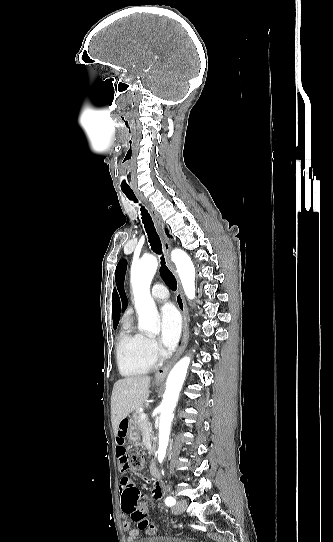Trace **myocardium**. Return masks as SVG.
<instances>
[{
  "label": "myocardium",
  "instance_id": "obj_1",
  "mask_svg": "<svg viewBox=\"0 0 333 542\" xmlns=\"http://www.w3.org/2000/svg\"><path fill=\"white\" fill-rule=\"evenodd\" d=\"M153 355L155 356V358H158V359H165L168 357V353H166L165 351H163L160 347H156L154 350H153Z\"/></svg>",
  "mask_w": 333,
  "mask_h": 542
}]
</instances>
